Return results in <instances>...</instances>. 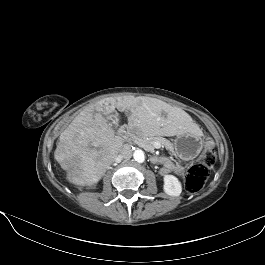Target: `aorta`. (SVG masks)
Instances as JSON below:
<instances>
[{
    "mask_svg": "<svg viewBox=\"0 0 265 265\" xmlns=\"http://www.w3.org/2000/svg\"><path fill=\"white\" fill-rule=\"evenodd\" d=\"M133 158L136 162L138 163H142L145 160V154L141 149H136L133 152Z\"/></svg>",
    "mask_w": 265,
    "mask_h": 265,
    "instance_id": "obj_1",
    "label": "aorta"
}]
</instances>
